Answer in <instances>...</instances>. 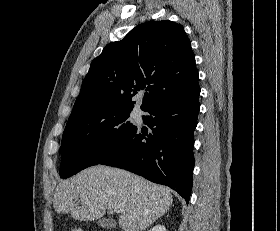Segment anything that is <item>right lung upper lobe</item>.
<instances>
[{
    "instance_id": "right-lung-upper-lobe-1",
    "label": "right lung upper lobe",
    "mask_w": 280,
    "mask_h": 231,
    "mask_svg": "<svg viewBox=\"0 0 280 231\" xmlns=\"http://www.w3.org/2000/svg\"><path fill=\"white\" fill-rule=\"evenodd\" d=\"M191 43L182 25L169 20L138 25L95 58L83 80L70 119L132 111L146 90L143 111L171 96L199 88Z\"/></svg>"
}]
</instances>
